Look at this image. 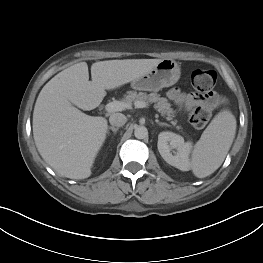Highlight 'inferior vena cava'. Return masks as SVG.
Wrapping results in <instances>:
<instances>
[{"mask_svg":"<svg viewBox=\"0 0 263 263\" xmlns=\"http://www.w3.org/2000/svg\"><path fill=\"white\" fill-rule=\"evenodd\" d=\"M127 121V118L122 113H114L111 114L109 117V122L112 126L121 127L123 126Z\"/></svg>","mask_w":263,"mask_h":263,"instance_id":"1","label":"inferior vena cava"}]
</instances>
